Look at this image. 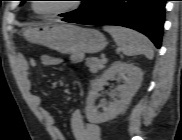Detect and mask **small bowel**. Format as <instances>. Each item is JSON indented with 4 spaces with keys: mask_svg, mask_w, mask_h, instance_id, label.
Masks as SVG:
<instances>
[{
    "mask_svg": "<svg viewBox=\"0 0 182 140\" xmlns=\"http://www.w3.org/2000/svg\"><path fill=\"white\" fill-rule=\"evenodd\" d=\"M40 62L45 66H57L62 63L60 58L51 55H42ZM17 66L22 75L24 85L27 89H32L33 81L30 70L37 67V61L33 58H27L23 54L17 56ZM32 101L35 105L40 106L42 99L39 95H33ZM40 114L49 128L53 140H65L61 131L55 124L53 114L46 108L40 107ZM70 126L76 140H102L99 126L84 120L82 111L75 109L70 117Z\"/></svg>",
    "mask_w": 182,
    "mask_h": 140,
    "instance_id": "c3829d8e",
    "label": "small bowel"
}]
</instances>
